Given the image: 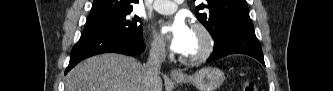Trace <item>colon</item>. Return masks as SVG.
I'll list each match as a JSON object with an SVG mask.
<instances>
[{"label": "colon", "instance_id": "obj_1", "mask_svg": "<svg viewBox=\"0 0 333 91\" xmlns=\"http://www.w3.org/2000/svg\"><path fill=\"white\" fill-rule=\"evenodd\" d=\"M243 91H258L256 84L253 81L247 80L243 83Z\"/></svg>", "mask_w": 333, "mask_h": 91}]
</instances>
